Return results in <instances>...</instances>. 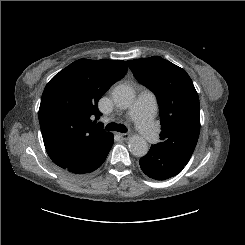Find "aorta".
Listing matches in <instances>:
<instances>
[{
    "mask_svg": "<svg viewBox=\"0 0 245 245\" xmlns=\"http://www.w3.org/2000/svg\"><path fill=\"white\" fill-rule=\"evenodd\" d=\"M113 100L122 109L128 108L134 101V90L128 85H118L113 90ZM130 152L136 157H143L148 153L149 146L147 141L139 136L132 135L129 139Z\"/></svg>",
    "mask_w": 245,
    "mask_h": 245,
    "instance_id": "obj_1",
    "label": "aorta"
}]
</instances>
